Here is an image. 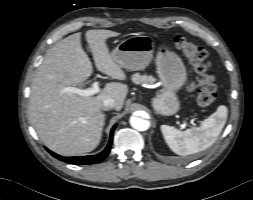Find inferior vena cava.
Wrapping results in <instances>:
<instances>
[{
  "label": "inferior vena cava",
  "mask_w": 253,
  "mask_h": 200,
  "mask_svg": "<svg viewBox=\"0 0 253 200\" xmlns=\"http://www.w3.org/2000/svg\"><path fill=\"white\" fill-rule=\"evenodd\" d=\"M115 105H116V103H115V100L113 98H106L103 101V107H102V109L103 110H110V109L114 108Z\"/></svg>",
  "instance_id": "1"
}]
</instances>
